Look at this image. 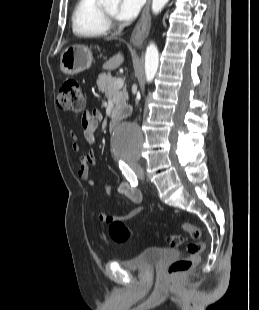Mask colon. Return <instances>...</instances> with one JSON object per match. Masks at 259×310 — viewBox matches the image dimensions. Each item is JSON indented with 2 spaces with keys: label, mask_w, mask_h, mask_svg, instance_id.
<instances>
[{
  "label": "colon",
  "mask_w": 259,
  "mask_h": 310,
  "mask_svg": "<svg viewBox=\"0 0 259 310\" xmlns=\"http://www.w3.org/2000/svg\"><path fill=\"white\" fill-rule=\"evenodd\" d=\"M57 104L64 111L83 112L85 98L81 83L75 79H66L57 94ZM181 229L188 233L193 241L187 244V256L177 259L169 265L168 273L170 276H177L190 270L198 263L204 249V244L200 241L202 232L198 226L191 223H183ZM109 235L114 241L124 243L130 238L131 231L122 219H116L110 223ZM184 242L185 237L182 234H174L170 237L172 247H178Z\"/></svg>",
  "instance_id": "5ec220e1"
}]
</instances>
